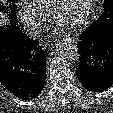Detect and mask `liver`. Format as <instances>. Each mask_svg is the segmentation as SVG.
Wrapping results in <instances>:
<instances>
[{
    "label": "liver",
    "mask_w": 113,
    "mask_h": 113,
    "mask_svg": "<svg viewBox=\"0 0 113 113\" xmlns=\"http://www.w3.org/2000/svg\"><path fill=\"white\" fill-rule=\"evenodd\" d=\"M3 3H5V1H3ZM7 19L4 16V14H0V25L6 24Z\"/></svg>",
    "instance_id": "1"
}]
</instances>
